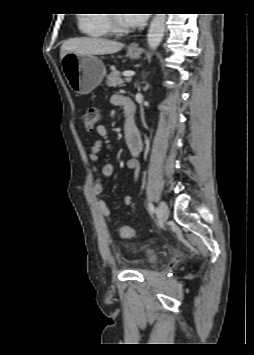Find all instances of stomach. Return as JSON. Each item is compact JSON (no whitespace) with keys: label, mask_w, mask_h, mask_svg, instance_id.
Masks as SVG:
<instances>
[{"label":"stomach","mask_w":254,"mask_h":355,"mask_svg":"<svg viewBox=\"0 0 254 355\" xmlns=\"http://www.w3.org/2000/svg\"><path fill=\"white\" fill-rule=\"evenodd\" d=\"M127 55L132 59L139 58V50L129 47ZM62 68L71 89L78 94L93 91L105 76V66L94 55L67 53L62 58Z\"/></svg>","instance_id":"1"}]
</instances>
